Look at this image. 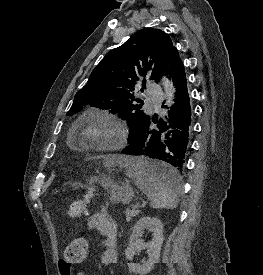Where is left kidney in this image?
Instances as JSON below:
<instances>
[{"mask_svg":"<svg viewBox=\"0 0 263 275\" xmlns=\"http://www.w3.org/2000/svg\"><path fill=\"white\" fill-rule=\"evenodd\" d=\"M149 228L153 231V238L150 242L145 243L139 237L142 232ZM163 243V224L158 218L142 217L135 225L129 238V246L125 250L126 259L133 260L136 252L149 250V259L143 265L137 263H128L129 269L135 274H148L155 263L159 262L161 246Z\"/></svg>","mask_w":263,"mask_h":275,"instance_id":"5707ae66","label":"left kidney"}]
</instances>
